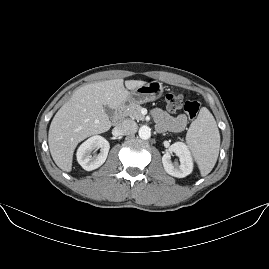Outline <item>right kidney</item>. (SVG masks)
Masks as SVG:
<instances>
[{
  "label": "right kidney",
  "mask_w": 269,
  "mask_h": 269,
  "mask_svg": "<svg viewBox=\"0 0 269 269\" xmlns=\"http://www.w3.org/2000/svg\"><path fill=\"white\" fill-rule=\"evenodd\" d=\"M94 149H100L99 154L91 155ZM110 149L109 142L102 136L95 135L83 142L76 153L77 161L86 171L100 167L107 159Z\"/></svg>",
  "instance_id": "ca27d5eb"
}]
</instances>
